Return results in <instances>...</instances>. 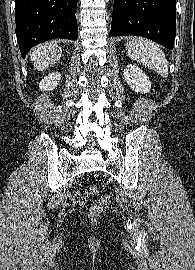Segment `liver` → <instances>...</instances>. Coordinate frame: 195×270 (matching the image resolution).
Wrapping results in <instances>:
<instances>
[{
    "instance_id": "6515ba94",
    "label": "liver",
    "mask_w": 195,
    "mask_h": 270,
    "mask_svg": "<svg viewBox=\"0 0 195 270\" xmlns=\"http://www.w3.org/2000/svg\"><path fill=\"white\" fill-rule=\"evenodd\" d=\"M61 55L62 48L57 45L56 41H50L37 46L30 59L37 70L43 71L53 66L60 59Z\"/></svg>"
}]
</instances>
